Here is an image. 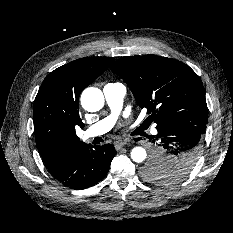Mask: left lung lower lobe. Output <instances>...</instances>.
I'll return each instance as SVG.
<instances>
[{"label": "left lung lower lobe", "instance_id": "left-lung-lower-lobe-1", "mask_svg": "<svg viewBox=\"0 0 233 233\" xmlns=\"http://www.w3.org/2000/svg\"><path fill=\"white\" fill-rule=\"evenodd\" d=\"M206 127L179 125L168 129H157L158 134L149 139L156 144L154 157L161 166L170 168L193 165L201 153L202 135Z\"/></svg>", "mask_w": 233, "mask_h": 233}]
</instances>
